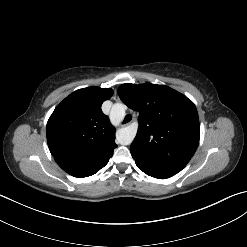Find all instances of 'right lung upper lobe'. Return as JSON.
Segmentation results:
<instances>
[{
  "label": "right lung upper lobe",
  "instance_id": "obj_1",
  "mask_svg": "<svg viewBox=\"0 0 247 247\" xmlns=\"http://www.w3.org/2000/svg\"><path fill=\"white\" fill-rule=\"evenodd\" d=\"M109 88L88 87L66 97L50 116L46 135L57 164L74 177H87L103 168L117 147L115 128L101 105Z\"/></svg>",
  "mask_w": 247,
  "mask_h": 247
}]
</instances>
